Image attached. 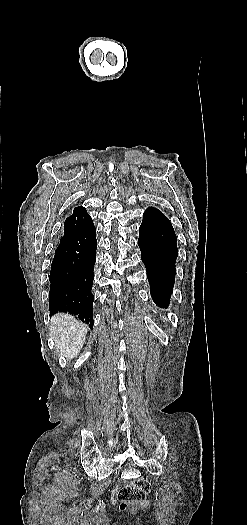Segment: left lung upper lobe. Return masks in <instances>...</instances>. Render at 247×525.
I'll use <instances>...</instances> for the list:
<instances>
[{"instance_id": "left-lung-upper-lobe-1", "label": "left lung upper lobe", "mask_w": 247, "mask_h": 525, "mask_svg": "<svg viewBox=\"0 0 247 525\" xmlns=\"http://www.w3.org/2000/svg\"><path fill=\"white\" fill-rule=\"evenodd\" d=\"M145 213H153V214H158V215H161L163 217H166L160 210L154 208V207H149L146 209ZM167 218V217H166Z\"/></svg>"}]
</instances>
